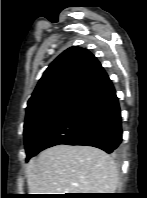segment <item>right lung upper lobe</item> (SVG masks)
Masks as SVG:
<instances>
[{"mask_svg":"<svg viewBox=\"0 0 147 198\" xmlns=\"http://www.w3.org/2000/svg\"><path fill=\"white\" fill-rule=\"evenodd\" d=\"M107 77L88 50L71 47L46 69L28 101L27 113L56 102H77Z\"/></svg>","mask_w":147,"mask_h":198,"instance_id":"1","label":"right lung upper lobe"}]
</instances>
